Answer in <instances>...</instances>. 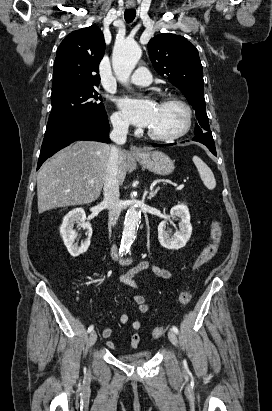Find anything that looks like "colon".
<instances>
[{
	"label": "colon",
	"mask_w": 272,
	"mask_h": 411,
	"mask_svg": "<svg viewBox=\"0 0 272 411\" xmlns=\"http://www.w3.org/2000/svg\"><path fill=\"white\" fill-rule=\"evenodd\" d=\"M222 238V230L218 222H214L211 227V244L208 245L193 262V269H198L203 264L212 260L218 253ZM192 298L191 291L184 289L179 295V303L182 306L187 305ZM166 332L165 327H155L152 330V337L157 339L162 337Z\"/></svg>",
	"instance_id": "obj_1"
}]
</instances>
